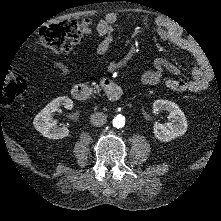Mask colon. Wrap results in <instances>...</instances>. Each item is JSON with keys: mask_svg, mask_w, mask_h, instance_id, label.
<instances>
[{"mask_svg": "<svg viewBox=\"0 0 221 221\" xmlns=\"http://www.w3.org/2000/svg\"><path fill=\"white\" fill-rule=\"evenodd\" d=\"M92 26L93 22L90 18L50 24L40 30L36 44L51 53L67 51L89 37ZM27 89L25 79L10 74L7 78L1 79L0 104L11 105L17 98L23 96Z\"/></svg>", "mask_w": 221, "mask_h": 221, "instance_id": "5ec220e1", "label": "colon"}]
</instances>
